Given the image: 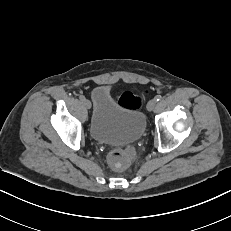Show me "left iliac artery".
Instances as JSON below:
<instances>
[{
	"label": "left iliac artery",
	"instance_id": "44dca946",
	"mask_svg": "<svg viewBox=\"0 0 231 231\" xmlns=\"http://www.w3.org/2000/svg\"><path fill=\"white\" fill-rule=\"evenodd\" d=\"M155 99H156V101H160L162 99V96L161 95H157V96H155Z\"/></svg>",
	"mask_w": 231,
	"mask_h": 231
}]
</instances>
